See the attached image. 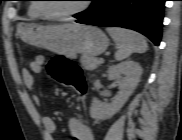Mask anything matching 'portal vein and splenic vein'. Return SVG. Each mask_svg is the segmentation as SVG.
Segmentation results:
<instances>
[{"mask_svg": "<svg viewBox=\"0 0 182 140\" xmlns=\"http://www.w3.org/2000/svg\"><path fill=\"white\" fill-rule=\"evenodd\" d=\"M99 62H100V63H103V62H104V59H103V58H100V59H99Z\"/></svg>", "mask_w": 182, "mask_h": 140, "instance_id": "portal-vein-and-splenic-vein-1", "label": "portal vein and splenic vein"}]
</instances>
